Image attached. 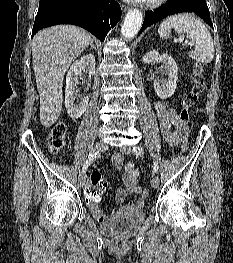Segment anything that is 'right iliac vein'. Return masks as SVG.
Segmentation results:
<instances>
[{
	"label": "right iliac vein",
	"mask_w": 233,
	"mask_h": 263,
	"mask_svg": "<svg viewBox=\"0 0 233 263\" xmlns=\"http://www.w3.org/2000/svg\"><path fill=\"white\" fill-rule=\"evenodd\" d=\"M107 148H108L107 143L105 141H103V140H99L96 143L94 150L97 151V152H100V151L106 150ZM78 184H79L80 187H84V185H85V175L83 173L79 174Z\"/></svg>",
	"instance_id": "right-iliac-vein-1"
}]
</instances>
